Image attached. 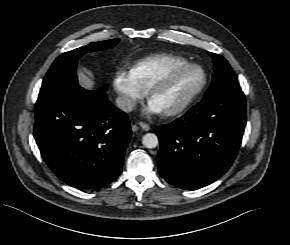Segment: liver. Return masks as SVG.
Listing matches in <instances>:
<instances>
[{
    "label": "liver",
    "instance_id": "liver-1",
    "mask_svg": "<svg viewBox=\"0 0 290 245\" xmlns=\"http://www.w3.org/2000/svg\"><path fill=\"white\" fill-rule=\"evenodd\" d=\"M78 81H79V84L87 90H93L95 87V84L93 81V75L91 73H88V75H86L82 72H79Z\"/></svg>",
    "mask_w": 290,
    "mask_h": 245
}]
</instances>
